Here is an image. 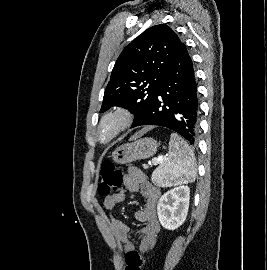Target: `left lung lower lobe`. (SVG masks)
Here are the masks:
<instances>
[{"label":"left lung lower lobe","mask_w":267,"mask_h":270,"mask_svg":"<svg viewBox=\"0 0 267 270\" xmlns=\"http://www.w3.org/2000/svg\"><path fill=\"white\" fill-rule=\"evenodd\" d=\"M198 93L192 60L181 43L177 54L152 103L134 126L158 125L169 128L189 144L198 133Z\"/></svg>","instance_id":"0a47b994"}]
</instances>
